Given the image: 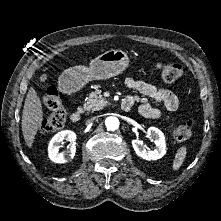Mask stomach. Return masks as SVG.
<instances>
[{"mask_svg": "<svg viewBox=\"0 0 221 221\" xmlns=\"http://www.w3.org/2000/svg\"><path fill=\"white\" fill-rule=\"evenodd\" d=\"M129 61L126 52L111 49L93 59L89 66L78 65L65 70L60 82L66 91L76 92L92 80H106L122 73Z\"/></svg>", "mask_w": 221, "mask_h": 221, "instance_id": "stomach-1", "label": "stomach"}]
</instances>
